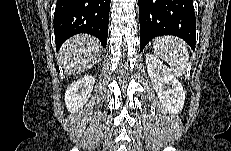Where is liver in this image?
Returning <instances> with one entry per match:
<instances>
[{
  "instance_id": "liver-1",
  "label": "liver",
  "mask_w": 231,
  "mask_h": 151,
  "mask_svg": "<svg viewBox=\"0 0 231 151\" xmlns=\"http://www.w3.org/2000/svg\"><path fill=\"white\" fill-rule=\"evenodd\" d=\"M100 42L98 39L80 34L71 37L61 48L60 61L66 74H79L91 63L99 62Z\"/></svg>"
}]
</instances>
